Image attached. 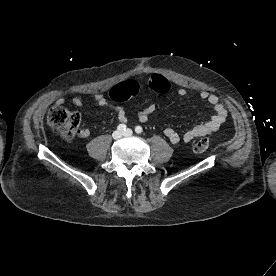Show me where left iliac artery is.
<instances>
[{"instance_id":"44dca946","label":"left iliac artery","mask_w":276,"mask_h":276,"mask_svg":"<svg viewBox=\"0 0 276 276\" xmlns=\"http://www.w3.org/2000/svg\"><path fill=\"white\" fill-rule=\"evenodd\" d=\"M142 131H143V129H142L141 126H137V127L135 128V132L138 133V134L142 133Z\"/></svg>"}]
</instances>
